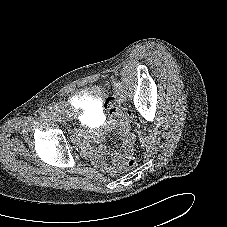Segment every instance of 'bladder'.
Masks as SVG:
<instances>
[{
  "label": "bladder",
  "instance_id": "31cf9c89",
  "mask_svg": "<svg viewBox=\"0 0 227 227\" xmlns=\"http://www.w3.org/2000/svg\"><path fill=\"white\" fill-rule=\"evenodd\" d=\"M77 101H79L80 103L86 102V96H77ZM98 102H99L98 96H94L93 98H91V101L88 102V105L83 108L84 112L83 114L89 117L94 116L95 111L98 108Z\"/></svg>",
  "mask_w": 227,
  "mask_h": 227
}]
</instances>
